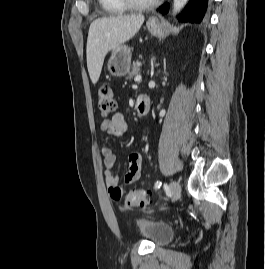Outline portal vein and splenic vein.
Instances as JSON below:
<instances>
[{
  "instance_id": "1",
  "label": "portal vein and splenic vein",
  "mask_w": 265,
  "mask_h": 269,
  "mask_svg": "<svg viewBox=\"0 0 265 269\" xmlns=\"http://www.w3.org/2000/svg\"><path fill=\"white\" fill-rule=\"evenodd\" d=\"M142 79L141 75H137L135 78H134V81L135 82H140Z\"/></svg>"
}]
</instances>
